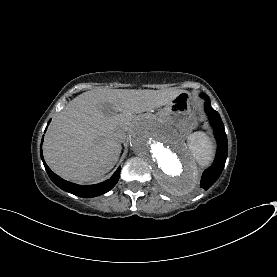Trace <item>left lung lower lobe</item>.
<instances>
[{
    "mask_svg": "<svg viewBox=\"0 0 277 277\" xmlns=\"http://www.w3.org/2000/svg\"><path fill=\"white\" fill-rule=\"evenodd\" d=\"M204 108L210 119V123L214 128V133L218 143V149L214 163L210 168L203 172L201 178L200 186L207 190L214 184V182H216L224 169L228 154V142L224 125L219 113L211 107L210 101L205 100Z\"/></svg>",
    "mask_w": 277,
    "mask_h": 277,
    "instance_id": "0a47b994",
    "label": "left lung lower lobe"
}]
</instances>
